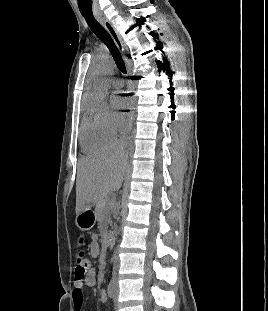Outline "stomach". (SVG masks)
I'll use <instances>...</instances> for the list:
<instances>
[{
    "instance_id": "stomach-1",
    "label": "stomach",
    "mask_w": 268,
    "mask_h": 311,
    "mask_svg": "<svg viewBox=\"0 0 268 311\" xmlns=\"http://www.w3.org/2000/svg\"><path fill=\"white\" fill-rule=\"evenodd\" d=\"M96 216L95 212L88 206L83 211L76 215L75 223L76 226L82 231H88L95 225Z\"/></svg>"
}]
</instances>
